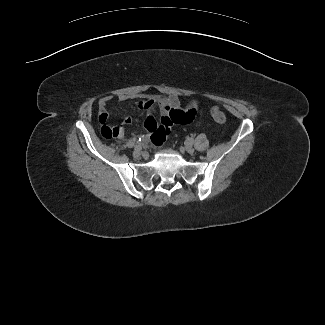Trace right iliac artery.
I'll list each match as a JSON object with an SVG mask.
<instances>
[{"label":"right iliac artery","instance_id":"obj_1","mask_svg":"<svg viewBox=\"0 0 325 325\" xmlns=\"http://www.w3.org/2000/svg\"><path fill=\"white\" fill-rule=\"evenodd\" d=\"M134 145H135V143L133 141H131V140L129 142H127V144H126V146L129 147V148L134 147Z\"/></svg>","mask_w":325,"mask_h":325}]
</instances>
